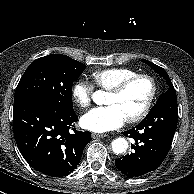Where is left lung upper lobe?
I'll use <instances>...</instances> for the list:
<instances>
[{
  "label": "left lung upper lobe",
  "mask_w": 194,
  "mask_h": 194,
  "mask_svg": "<svg viewBox=\"0 0 194 194\" xmlns=\"http://www.w3.org/2000/svg\"><path fill=\"white\" fill-rule=\"evenodd\" d=\"M141 61L144 62L145 64H147L148 66H150L157 74L161 75L166 80V82L169 86L168 90L165 93L161 94V96L159 97L157 102L162 101V100L167 99V98H177L174 86L171 83V80H170L168 74L166 73V71L163 68L155 65L154 63H152L148 60H141Z\"/></svg>",
  "instance_id": "1"
}]
</instances>
